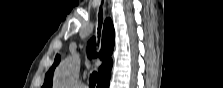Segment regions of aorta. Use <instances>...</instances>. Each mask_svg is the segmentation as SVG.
I'll use <instances>...</instances> for the list:
<instances>
[{"instance_id":"aorta-1","label":"aorta","mask_w":223,"mask_h":88,"mask_svg":"<svg viewBox=\"0 0 223 88\" xmlns=\"http://www.w3.org/2000/svg\"><path fill=\"white\" fill-rule=\"evenodd\" d=\"M78 65V58L69 57L63 60L55 73V86L57 88H72L77 78Z\"/></svg>"}]
</instances>
